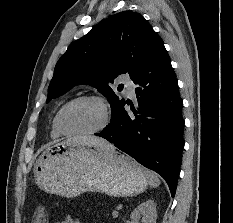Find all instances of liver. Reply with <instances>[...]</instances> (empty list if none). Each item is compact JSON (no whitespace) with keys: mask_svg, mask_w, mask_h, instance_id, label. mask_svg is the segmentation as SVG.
<instances>
[{"mask_svg":"<svg viewBox=\"0 0 233 223\" xmlns=\"http://www.w3.org/2000/svg\"><path fill=\"white\" fill-rule=\"evenodd\" d=\"M71 143H83V145H96V147H106V149H116L115 145L103 139V137H97V135H81V137H71L68 139Z\"/></svg>","mask_w":233,"mask_h":223,"instance_id":"6515ba94","label":"liver"}]
</instances>
